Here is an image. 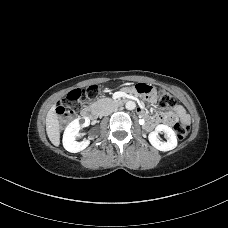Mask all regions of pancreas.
Segmentation results:
<instances>
[{"mask_svg": "<svg viewBox=\"0 0 228 228\" xmlns=\"http://www.w3.org/2000/svg\"><path fill=\"white\" fill-rule=\"evenodd\" d=\"M110 101H111V99H109V98H102V99H99L96 102H94L93 106H97L102 109Z\"/></svg>", "mask_w": 228, "mask_h": 228, "instance_id": "pancreas-1", "label": "pancreas"}]
</instances>
